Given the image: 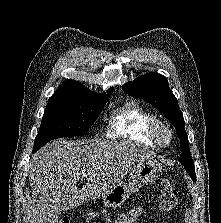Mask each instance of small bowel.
Masks as SVG:
<instances>
[{"mask_svg": "<svg viewBox=\"0 0 221 223\" xmlns=\"http://www.w3.org/2000/svg\"><path fill=\"white\" fill-rule=\"evenodd\" d=\"M141 214V210H134L121 215L116 223H137V219ZM154 223H165V222H154Z\"/></svg>", "mask_w": 221, "mask_h": 223, "instance_id": "small-bowel-1", "label": "small bowel"}]
</instances>
